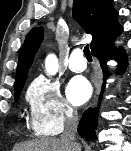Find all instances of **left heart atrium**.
<instances>
[{
  "label": "left heart atrium",
  "instance_id": "1",
  "mask_svg": "<svg viewBox=\"0 0 131 151\" xmlns=\"http://www.w3.org/2000/svg\"><path fill=\"white\" fill-rule=\"evenodd\" d=\"M92 93L90 83L84 77H74L67 86V97L74 105L86 102Z\"/></svg>",
  "mask_w": 131,
  "mask_h": 151
}]
</instances>
